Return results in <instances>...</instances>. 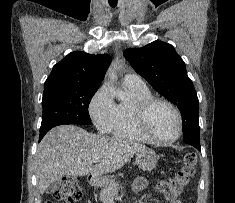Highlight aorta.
<instances>
[{
	"label": "aorta",
	"mask_w": 235,
	"mask_h": 203,
	"mask_svg": "<svg viewBox=\"0 0 235 203\" xmlns=\"http://www.w3.org/2000/svg\"><path fill=\"white\" fill-rule=\"evenodd\" d=\"M107 75L109 78L114 79L116 77L115 71L113 68L109 69L107 72ZM118 98L123 99V95L121 93H116L115 94Z\"/></svg>",
	"instance_id": "762f6f07"
}]
</instances>
